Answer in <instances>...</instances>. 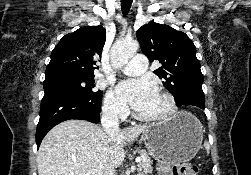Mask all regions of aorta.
<instances>
[{"mask_svg":"<svg viewBox=\"0 0 251 175\" xmlns=\"http://www.w3.org/2000/svg\"><path fill=\"white\" fill-rule=\"evenodd\" d=\"M139 48L138 42H116L111 48V66L114 68H123Z\"/></svg>","mask_w":251,"mask_h":175,"instance_id":"1","label":"aorta"}]
</instances>
